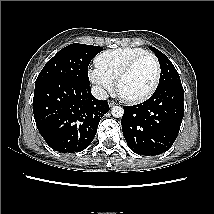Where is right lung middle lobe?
<instances>
[{
    "label": "right lung middle lobe",
    "instance_id": "obj_1",
    "mask_svg": "<svg viewBox=\"0 0 214 214\" xmlns=\"http://www.w3.org/2000/svg\"><path fill=\"white\" fill-rule=\"evenodd\" d=\"M103 47L70 44L51 58L39 73L35 85L50 79H66L89 85L88 65Z\"/></svg>",
    "mask_w": 214,
    "mask_h": 214
}]
</instances>
